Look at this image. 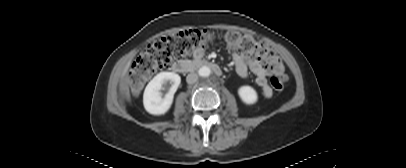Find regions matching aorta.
I'll list each match as a JSON object with an SVG mask.
<instances>
[{"mask_svg": "<svg viewBox=\"0 0 406 168\" xmlns=\"http://www.w3.org/2000/svg\"><path fill=\"white\" fill-rule=\"evenodd\" d=\"M210 73H211V70L207 66H203V67L199 68V70H198V74L201 77H208L210 75Z\"/></svg>", "mask_w": 406, "mask_h": 168, "instance_id": "obj_1", "label": "aorta"}]
</instances>
